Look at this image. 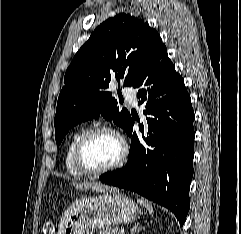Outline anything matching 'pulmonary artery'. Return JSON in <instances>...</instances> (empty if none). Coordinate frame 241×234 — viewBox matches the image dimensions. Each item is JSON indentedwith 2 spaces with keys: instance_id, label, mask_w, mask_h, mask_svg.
I'll use <instances>...</instances> for the list:
<instances>
[{
  "instance_id": "obj_1",
  "label": "pulmonary artery",
  "mask_w": 241,
  "mask_h": 234,
  "mask_svg": "<svg viewBox=\"0 0 241 234\" xmlns=\"http://www.w3.org/2000/svg\"><path fill=\"white\" fill-rule=\"evenodd\" d=\"M123 94L130 104H132L133 106L137 105L136 94L132 88L125 87L123 89Z\"/></svg>"
}]
</instances>
